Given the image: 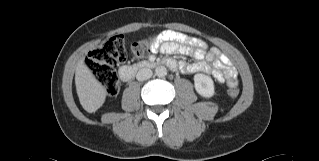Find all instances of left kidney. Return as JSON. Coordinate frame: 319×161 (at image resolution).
I'll list each match as a JSON object with an SVG mask.
<instances>
[{
  "label": "left kidney",
  "mask_w": 319,
  "mask_h": 161,
  "mask_svg": "<svg viewBox=\"0 0 319 161\" xmlns=\"http://www.w3.org/2000/svg\"><path fill=\"white\" fill-rule=\"evenodd\" d=\"M194 86L198 94L205 98L214 95V82L210 76L198 73L194 76Z\"/></svg>",
  "instance_id": "obj_1"
}]
</instances>
